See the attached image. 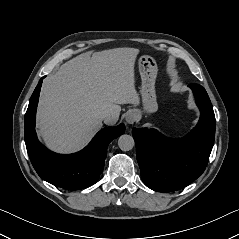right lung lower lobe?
Instances as JSON below:
<instances>
[{"instance_id":"obj_1","label":"right lung lower lobe","mask_w":239,"mask_h":239,"mask_svg":"<svg viewBox=\"0 0 239 239\" xmlns=\"http://www.w3.org/2000/svg\"><path fill=\"white\" fill-rule=\"evenodd\" d=\"M43 78L35 88L25 114V144L29 158L38 175L50 184L67 190L87 188L98 181L104 169L108 144L125 132V126L120 124L102 129L86 148L74 154L61 155L48 150L38 141L35 132Z\"/></svg>"}]
</instances>
